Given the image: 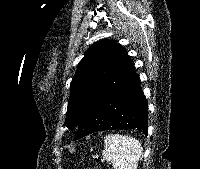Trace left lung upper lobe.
Instances as JSON below:
<instances>
[{
	"mask_svg": "<svg viewBox=\"0 0 200 169\" xmlns=\"http://www.w3.org/2000/svg\"><path fill=\"white\" fill-rule=\"evenodd\" d=\"M135 74L127 51L116 41L93 44L79 62L71 82L65 125L79 126L93 105Z\"/></svg>",
	"mask_w": 200,
	"mask_h": 169,
	"instance_id": "left-lung-upper-lobe-1",
	"label": "left lung upper lobe"
}]
</instances>
